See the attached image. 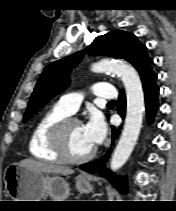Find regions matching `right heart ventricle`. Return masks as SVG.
<instances>
[{
	"label": "right heart ventricle",
	"instance_id": "right-heart-ventricle-1",
	"mask_svg": "<svg viewBox=\"0 0 176 211\" xmlns=\"http://www.w3.org/2000/svg\"><path fill=\"white\" fill-rule=\"evenodd\" d=\"M66 116L70 114L56 104L38 118L28 140V150L32 157L41 161L61 163V159L51 147L49 135L53 125Z\"/></svg>",
	"mask_w": 176,
	"mask_h": 211
}]
</instances>
